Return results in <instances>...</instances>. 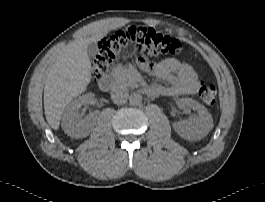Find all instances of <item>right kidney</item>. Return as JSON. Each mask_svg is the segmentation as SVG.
<instances>
[{"label":"right kidney","mask_w":265,"mask_h":202,"mask_svg":"<svg viewBox=\"0 0 265 202\" xmlns=\"http://www.w3.org/2000/svg\"><path fill=\"white\" fill-rule=\"evenodd\" d=\"M94 99L93 93L84 94L74 99L65 109L62 116V129L72 138H85L96 125L99 113L94 112L84 118H79L81 106L90 104Z\"/></svg>","instance_id":"obj_1"}]
</instances>
